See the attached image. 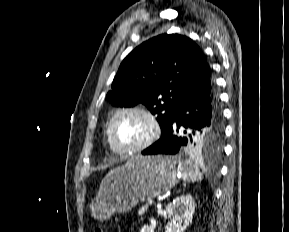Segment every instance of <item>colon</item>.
I'll return each instance as SVG.
<instances>
[{
    "instance_id": "colon-1",
    "label": "colon",
    "mask_w": 289,
    "mask_h": 232,
    "mask_svg": "<svg viewBox=\"0 0 289 232\" xmlns=\"http://www.w3.org/2000/svg\"><path fill=\"white\" fill-rule=\"evenodd\" d=\"M93 232H104V231L100 228H96Z\"/></svg>"
}]
</instances>
